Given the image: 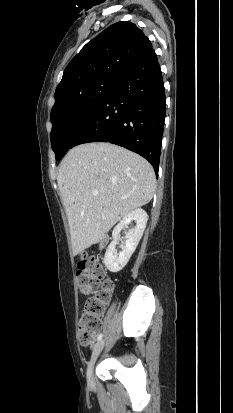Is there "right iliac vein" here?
Masks as SVG:
<instances>
[{
  "mask_svg": "<svg viewBox=\"0 0 233 413\" xmlns=\"http://www.w3.org/2000/svg\"><path fill=\"white\" fill-rule=\"evenodd\" d=\"M104 347V341L101 340L100 342H98L92 352V356L90 359V362L88 364V368H87V380L89 383H93L94 381V376H93V372H94V365L95 362L99 356V354L101 353L102 349Z\"/></svg>",
  "mask_w": 233,
  "mask_h": 413,
  "instance_id": "63e3f726",
  "label": "right iliac vein"
}]
</instances>
